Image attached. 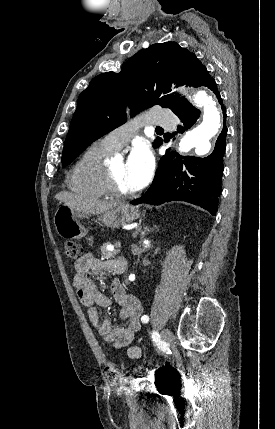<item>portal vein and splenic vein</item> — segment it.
<instances>
[{"mask_svg": "<svg viewBox=\"0 0 275 429\" xmlns=\"http://www.w3.org/2000/svg\"><path fill=\"white\" fill-rule=\"evenodd\" d=\"M115 247H121V242H117L116 244H115ZM114 249V246H108V250H113Z\"/></svg>", "mask_w": 275, "mask_h": 429, "instance_id": "obj_1", "label": "portal vein and splenic vein"}]
</instances>
